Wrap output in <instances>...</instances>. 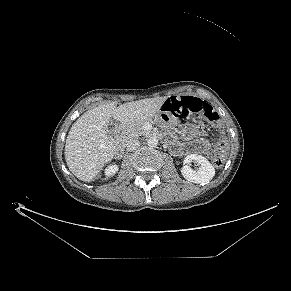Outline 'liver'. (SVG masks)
Masks as SVG:
<instances>
[{
    "label": "liver",
    "instance_id": "6515ba94",
    "mask_svg": "<svg viewBox=\"0 0 291 291\" xmlns=\"http://www.w3.org/2000/svg\"><path fill=\"white\" fill-rule=\"evenodd\" d=\"M167 97L147 98L124 103L108 102L85 112L72 125L65 144L69 170L85 182L92 181L113 159L116 141L107 132L111 118L124 125L145 122L160 112Z\"/></svg>",
    "mask_w": 291,
    "mask_h": 291
}]
</instances>
